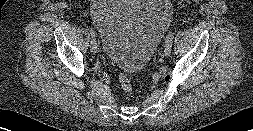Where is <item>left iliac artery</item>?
I'll use <instances>...</instances> for the list:
<instances>
[{"label":"left iliac artery","instance_id":"obj_1","mask_svg":"<svg viewBox=\"0 0 253 131\" xmlns=\"http://www.w3.org/2000/svg\"><path fill=\"white\" fill-rule=\"evenodd\" d=\"M173 39H174V33L173 32H169V34L166 37L165 43H171V45H172Z\"/></svg>","mask_w":253,"mask_h":131}]
</instances>
